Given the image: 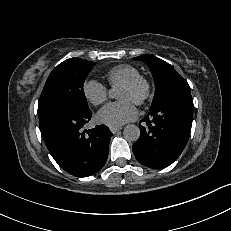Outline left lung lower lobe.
Wrapping results in <instances>:
<instances>
[{
	"instance_id": "left-lung-lower-lobe-1",
	"label": "left lung lower lobe",
	"mask_w": 231,
	"mask_h": 231,
	"mask_svg": "<svg viewBox=\"0 0 231 231\" xmlns=\"http://www.w3.org/2000/svg\"><path fill=\"white\" fill-rule=\"evenodd\" d=\"M193 100L190 93H174L141 120L140 138L133 153L142 165L161 169L172 164L185 148L192 126Z\"/></svg>"
}]
</instances>
